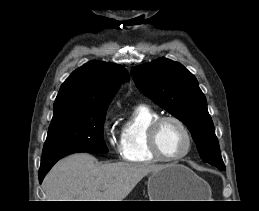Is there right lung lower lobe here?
I'll use <instances>...</instances> for the list:
<instances>
[{
	"label": "right lung lower lobe",
	"instance_id": "98d812e1",
	"mask_svg": "<svg viewBox=\"0 0 259 211\" xmlns=\"http://www.w3.org/2000/svg\"><path fill=\"white\" fill-rule=\"evenodd\" d=\"M66 155H62V156H59L53 160H50L44 164H41L40 166V170H39V181L40 183L42 182L43 178L45 177V175L47 174V172L51 169V167L59 160L61 159L62 157H64Z\"/></svg>",
	"mask_w": 259,
	"mask_h": 211
}]
</instances>
